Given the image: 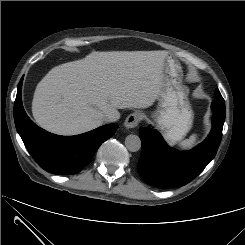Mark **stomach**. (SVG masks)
<instances>
[{
    "mask_svg": "<svg viewBox=\"0 0 245 245\" xmlns=\"http://www.w3.org/2000/svg\"><path fill=\"white\" fill-rule=\"evenodd\" d=\"M181 66L171 56L166 57L160 109L154 118L171 143L182 140L193 123V111L187 98V89L181 85Z\"/></svg>",
    "mask_w": 245,
    "mask_h": 245,
    "instance_id": "stomach-1",
    "label": "stomach"
}]
</instances>
